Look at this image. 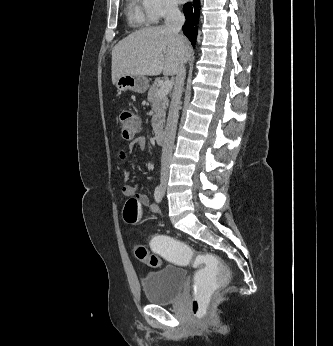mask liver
I'll list each match as a JSON object with an SVG mask.
<instances>
[{"mask_svg":"<svg viewBox=\"0 0 333 346\" xmlns=\"http://www.w3.org/2000/svg\"><path fill=\"white\" fill-rule=\"evenodd\" d=\"M191 53L189 41L165 26L138 30L112 50V83L123 75H176Z\"/></svg>","mask_w":333,"mask_h":346,"instance_id":"obj_1","label":"liver"}]
</instances>
